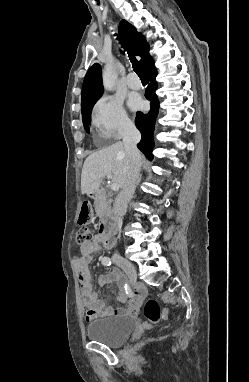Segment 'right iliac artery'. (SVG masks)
Segmentation results:
<instances>
[{
    "label": "right iliac artery",
    "mask_w": 249,
    "mask_h": 382,
    "mask_svg": "<svg viewBox=\"0 0 249 382\" xmlns=\"http://www.w3.org/2000/svg\"><path fill=\"white\" fill-rule=\"evenodd\" d=\"M111 259L109 257H104L102 259V264L105 265V266H110L111 265Z\"/></svg>",
    "instance_id": "1"
}]
</instances>
